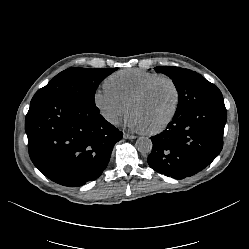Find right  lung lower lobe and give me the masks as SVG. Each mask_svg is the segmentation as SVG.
<instances>
[{
  "label": "right lung lower lobe",
  "mask_w": 249,
  "mask_h": 249,
  "mask_svg": "<svg viewBox=\"0 0 249 249\" xmlns=\"http://www.w3.org/2000/svg\"><path fill=\"white\" fill-rule=\"evenodd\" d=\"M25 130L34 165L52 181L71 187L97 179L123 136L96 106L73 98L31 103Z\"/></svg>",
  "instance_id": "obj_1"
}]
</instances>
